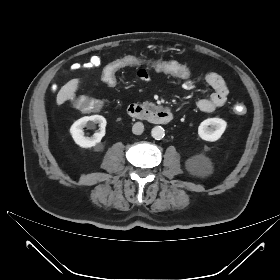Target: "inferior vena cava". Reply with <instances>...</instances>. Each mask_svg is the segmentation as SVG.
I'll use <instances>...</instances> for the list:
<instances>
[{
  "label": "inferior vena cava",
  "instance_id": "1",
  "mask_svg": "<svg viewBox=\"0 0 280 280\" xmlns=\"http://www.w3.org/2000/svg\"><path fill=\"white\" fill-rule=\"evenodd\" d=\"M144 131V125L141 122H136L132 127V132L135 135H141Z\"/></svg>",
  "mask_w": 280,
  "mask_h": 280
}]
</instances>
